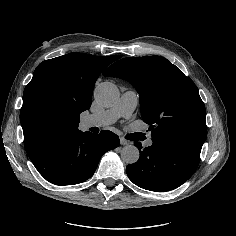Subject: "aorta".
I'll return each instance as SVG.
<instances>
[{
	"label": "aorta",
	"mask_w": 236,
	"mask_h": 236,
	"mask_svg": "<svg viewBox=\"0 0 236 236\" xmlns=\"http://www.w3.org/2000/svg\"><path fill=\"white\" fill-rule=\"evenodd\" d=\"M94 97L104 107H111L119 99V90L111 82L100 83L95 91ZM121 159L127 164H133L139 159V150L134 145H126L121 149Z\"/></svg>",
	"instance_id": "aorta-1"
}]
</instances>
